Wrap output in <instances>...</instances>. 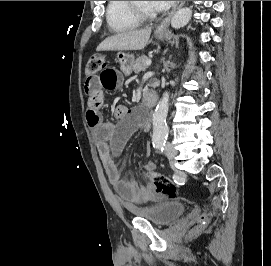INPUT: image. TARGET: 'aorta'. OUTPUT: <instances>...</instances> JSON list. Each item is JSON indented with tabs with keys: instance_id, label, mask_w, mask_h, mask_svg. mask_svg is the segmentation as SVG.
Instances as JSON below:
<instances>
[{
	"instance_id": "obj_1",
	"label": "aorta",
	"mask_w": 271,
	"mask_h": 266,
	"mask_svg": "<svg viewBox=\"0 0 271 266\" xmlns=\"http://www.w3.org/2000/svg\"><path fill=\"white\" fill-rule=\"evenodd\" d=\"M192 17V9L185 7L179 9L171 19V26L180 29L188 24ZM169 108V93L165 92L158 102L155 113L153 114V139L164 140L168 135L166 117Z\"/></svg>"
}]
</instances>
